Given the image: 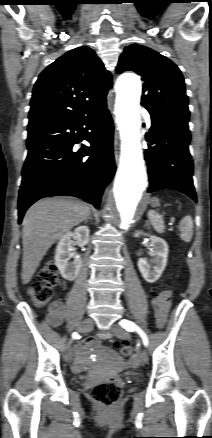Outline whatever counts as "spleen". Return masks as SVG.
I'll list each match as a JSON object with an SVG mask.
<instances>
[{"label": "spleen", "instance_id": "obj_1", "mask_svg": "<svg viewBox=\"0 0 212 438\" xmlns=\"http://www.w3.org/2000/svg\"><path fill=\"white\" fill-rule=\"evenodd\" d=\"M148 218L157 232L159 233L164 232L165 230L164 221L156 211L150 210L148 212ZM179 230H180V239L187 243L190 242L193 236V220L191 216L187 215L180 221Z\"/></svg>", "mask_w": 212, "mask_h": 438}]
</instances>
